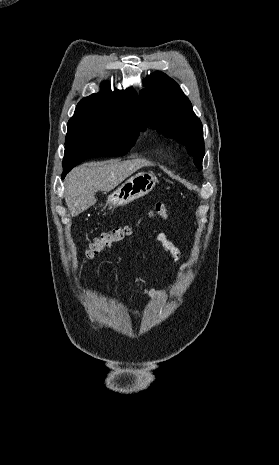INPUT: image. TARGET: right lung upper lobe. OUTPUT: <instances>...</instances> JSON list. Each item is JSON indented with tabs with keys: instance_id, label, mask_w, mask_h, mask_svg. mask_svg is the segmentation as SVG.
Instances as JSON below:
<instances>
[{
	"instance_id": "obj_1",
	"label": "right lung upper lobe",
	"mask_w": 279,
	"mask_h": 465,
	"mask_svg": "<svg viewBox=\"0 0 279 465\" xmlns=\"http://www.w3.org/2000/svg\"><path fill=\"white\" fill-rule=\"evenodd\" d=\"M121 122L136 123L144 129L147 127L136 91L129 88L112 92L110 86L104 84L99 93L78 103L73 117L68 121V129Z\"/></svg>"
}]
</instances>
